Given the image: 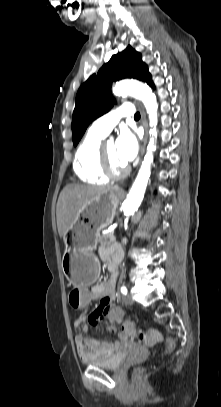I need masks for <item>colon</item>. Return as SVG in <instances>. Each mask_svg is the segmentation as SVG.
<instances>
[{
    "mask_svg": "<svg viewBox=\"0 0 221 407\" xmlns=\"http://www.w3.org/2000/svg\"><path fill=\"white\" fill-rule=\"evenodd\" d=\"M90 290L89 283H76L75 286L69 287V304L73 311H86L87 306L90 303L88 293ZM123 312L121 305L110 306L106 311V316L111 319L112 322H119L118 326L122 330H127L131 339L139 338L148 346H153L163 341V336L156 329H149L144 333L138 334L133 328H139V321L126 320V315ZM168 353L172 352L175 348V342L172 338L166 339Z\"/></svg>",
    "mask_w": 221,
    "mask_h": 407,
    "instance_id": "1",
    "label": "colon"
}]
</instances>
